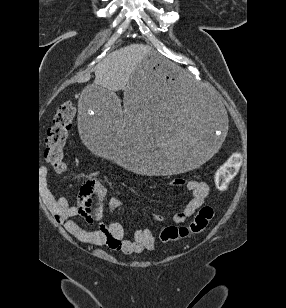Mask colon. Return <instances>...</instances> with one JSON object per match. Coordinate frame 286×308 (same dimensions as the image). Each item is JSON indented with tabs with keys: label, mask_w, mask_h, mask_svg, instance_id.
I'll list each match as a JSON object with an SVG mask.
<instances>
[{
	"label": "colon",
	"mask_w": 286,
	"mask_h": 308,
	"mask_svg": "<svg viewBox=\"0 0 286 308\" xmlns=\"http://www.w3.org/2000/svg\"><path fill=\"white\" fill-rule=\"evenodd\" d=\"M76 115L73 102L62 103L54 117L52 126L49 128L46 139L47 148L45 159L56 173L65 171L64 148L69 138V133ZM242 165V155L239 152L232 153L218 168L215 174V186L219 191H225L238 173ZM214 210L211 206H203L189 225L167 226L160 232V240L163 243L184 239L190 235L203 232L211 219Z\"/></svg>",
	"instance_id": "1"
}]
</instances>
